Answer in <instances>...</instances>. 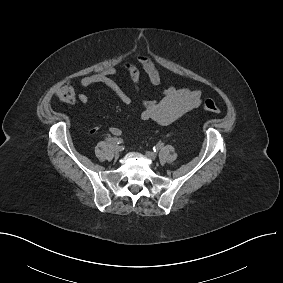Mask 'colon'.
<instances>
[{
  "mask_svg": "<svg viewBox=\"0 0 283 283\" xmlns=\"http://www.w3.org/2000/svg\"><path fill=\"white\" fill-rule=\"evenodd\" d=\"M56 96L58 99L65 103H72L75 101V91L73 87L69 83H64L62 84L56 91ZM202 106L204 110L218 114L220 113V109L217 106V104L211 100V99H206L203 101Z\"/></svg>",
  "mask_w": 283,
  "mask_h": 283,
  "instance_id": "obj_1",
  "label": "colon"
}]
</instances>
